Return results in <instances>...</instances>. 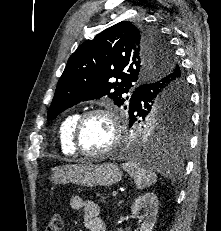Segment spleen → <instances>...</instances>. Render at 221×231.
I'll return each mask as SVG.
<instances>
[{"label":"spleen","instance_id":"3e777b00","mask_svg":"<svg viewBox=\"0 0 221 231\" xmlns=\"http://www.w3.org/2000/svg\"><path fill=\"white\" fill-rule=\"evenodd\" d=\"M121 167L134 179L139 190L148 188L157 181L155 172L134 160L122 163Z\"/></svg>","mask_w":221,"mask_h":231}]
</instances>
